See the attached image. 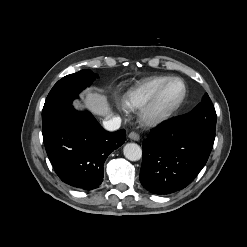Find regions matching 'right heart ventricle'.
Returning a JSON list of instances; mask_svg holds the SVG:
<instances>
[{"instance_id": "right-heart-ventricle-1", "label": "right heart ventricle", "mask_w": 247, "mask_h": 247, "mask_svg": "<svg viewBox=\"0 0 247 247\" xmlns=\"http://www.w3.org/2000/svg\"><path fill=\"white\" fill-rule=\"evenodd\" d=\"M169 77L153 76L131 86L122 99L123 107L127 110H137L150 99L156 89Z\"/></svg>"}]
</instances>
